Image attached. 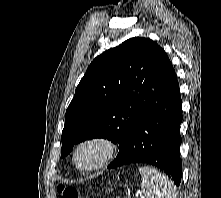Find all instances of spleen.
I'll list each match as a JSON object with an SVG mask.
<instances>
[{"label":"spleen","instance_id":"1","mask_svg":"<svg viewBox=\"0 0 221 198\" xmlns=\"http://www.w3.org/2000/svg\"><path fill=\"white\" fill-rule=\"evenodd\" d=\"M139 172L144 198H177L175 188L165 174L148 166L140 167Z\"/></svg>","mask_w":221,"mask_h":198}]
</instances>
